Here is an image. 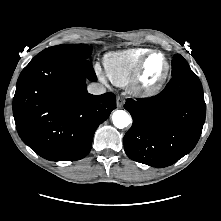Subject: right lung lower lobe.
<instances>
[{"label":"right lung lower lobe","instance_id":"98d812e1","mask_svg":"<svg viewBox=\"0 0 221 221\" xmlns=\"http://www.w3.org/2000/svg\"><path fill=\"white\" fill-rule=\"evenodd\" d=\"M97 77L87 59L43 56L21 72L13 99L19 136L41 157L74 161L91 150L97 127L116 108L113 93L92 95Z\"/></svg>","mask_w":221,"mask_h":221}]
</instances>
